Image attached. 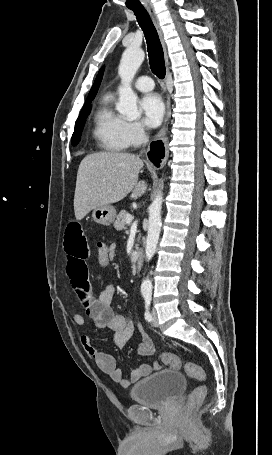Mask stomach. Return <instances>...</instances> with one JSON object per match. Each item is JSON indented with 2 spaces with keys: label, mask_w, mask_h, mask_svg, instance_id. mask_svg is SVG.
<instances>
[{
  "label": "stomach",
  "mask_w": 272,
  "mask_h": 455,
  "mask_svg": "<svg viewBox=\"0 0 272 455\" xmlns=\"http://www.w3.org/2000/svg\"><path fill=\"white\" fill-rule=\"evenodd\" d=\"M116 217V210L112 205L93 209L92 218L95 222L108 226L112 224Z\"/></svg>",
  "instance_id": "1"
}]
</instances>
